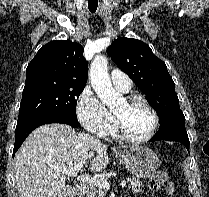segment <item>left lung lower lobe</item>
<instances>
[{
	"label": "left lung lower lobe",
	"instance_id": "1",
	"mask_svg": "<svg viewBox=\"0 0 209 197\" xmlns=\"http://www.w3.org/2000/svg\"><path fill=\"white\" fill-rule=\"evenodd\" d=\"M158 140L180 142L189 151V138L185 129V121L172 122L165 125L159 129V131L149 140V142Z\"/></svg>",
	"mask_w": 209,
	"mask_h": 197
}]
</instances>
